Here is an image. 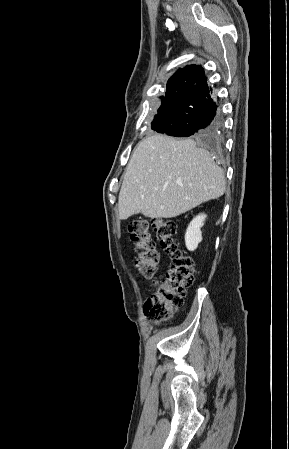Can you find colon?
Masks as SVG:
<instances>
[{
	"label": "colon",
	"mask_w": 289,
	"mask_h": 449,
	"mask_svg": "<svg viewBox=\"0 0 289 449\" xmlns=\"http://www.w3.org/2000/svg\"><path fill=\"white\" fill-rule=\"evenodd\" d=\"M151 230L171 258L163 280L156 284L155 291L144 304V314L159 323L168 320L173 311L182 306L185 291L194 281V262L180 247L176 239L177 225L173 220L137 219L129 224L128 231L138 250L134 267L143 278L154 277L159 260Z\"/></svg>",
	"instance_id": "obj_1"
}]
</instances>
